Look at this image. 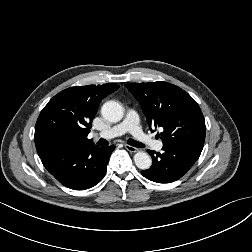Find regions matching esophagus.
<instances>
[{
	"label": "esophagus",
	"mask_w": 252,
	"mask_h": 252,
	"mask_svg": "<svg viewBox=\"0 0 252 252\" xmlns=\"http://www.w3.org/2000/svg\"><path fill=\"white\" fill-rule=\"evenodd\" d=\"M124 147H125V149H126V150H128L129 152H132V153H134V152H138V151H139V149H138V148L133 147V146L128 145V144H125V145H124Z\"/></svg>",
	"instance_id": "esophagus-1"
}]
</instances>
